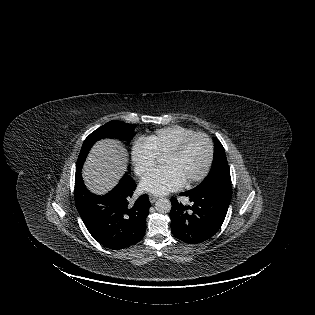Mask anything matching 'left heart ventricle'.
Listing matches in <instances>:
<instances>
[{"instance_id":"left-heart-ventricle-1","label":"left heart ventricle","mask_w":315,"mask_h":315,"mask_svg":"<svg viewBox=\"0 0 315 315\" xmlns=\"http://www.w3.org/2000/svg\"><path fill=\"white\" fill-rule=\"evenodd\" d=\"M208 156L207 142L202 137L193 139L178 156H165L163 164L175 169L187 181L204 168Z\"/></svg>"}]
</instances>
